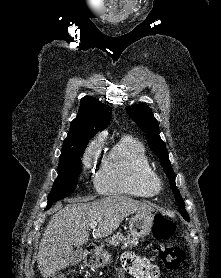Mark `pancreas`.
I'll return each instance as SVG.
<instances>
[{
    "mask_svg": "<svg viewBox=\"0 0 221 278\" xmlns=\"http://www.w3.org/2000/svg\"><path fill=\"white\" fill-rule=\"evenodd\" d=\"M108 245L118 246L120 243L123 244V247H132L138 244V239L136 237H124L121 234L113 235L107 240Z\"/></svg>",
    "mask_w": 221,
    "mask_h": 278,
    "instance_id": "obj_1",
    "label": "pancreas"
}]
</instances>
